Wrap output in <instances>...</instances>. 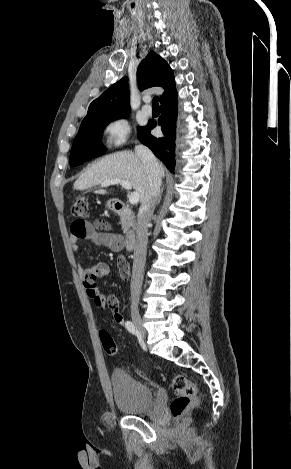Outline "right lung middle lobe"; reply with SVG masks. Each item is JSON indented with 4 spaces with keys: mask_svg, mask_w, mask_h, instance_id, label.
I'll return each mask as SVG.
<instances>
[{
    "mask_svg": "<svg viewBox=\"0 0 291 469\" xmlns=\"http://www.w3.org/2000/svg\"><path fill=\"white\" fill-rule=\"evenodd\" d=\"M127 114L82 121L72 145L69 158L70 165L72 167L78 166L103 155L106 151L101 143L103 130L111 121L127 117Z\"/></svg>",
    "mask_w": 291,
    "mask_h": 469,
    "instance_id": "obj_1",
    "label": "right lung middle lobe"
}]
</instances>
